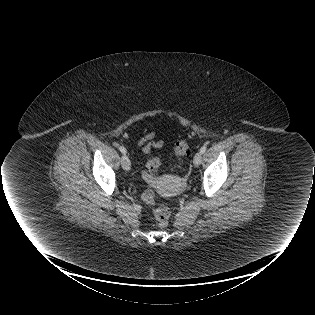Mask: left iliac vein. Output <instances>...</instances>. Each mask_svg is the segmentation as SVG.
<instances>
[{
	"mask_svg": "<svg viewBox=\"0 0 315 315\" xmlns=\"http://www.w3.org/2000/svg\"><path fill=\"white\" fill-rule=\"evenodd\" d=\"M201 160L202 153L201 152L196 153L193 159L194 166L198 167L201 164Z\"/></svg>",
	"mask_w": 315,
	"mask_h": 315,
	"instance_id": "obj_1",
	"label": "left iliac vein"
}]
</instances>
